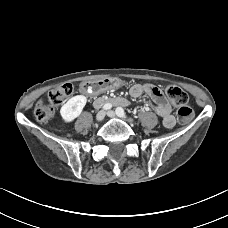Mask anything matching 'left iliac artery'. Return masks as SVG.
<instances>
[{
    "label": "left iliac artery",
    "instance_id": "1",
    "mask_svg": "<svg viewBox=\"0 0 228 228\" xmlns=\"http://www.w3.org/2000/svg\"><path fill=\"white\" fill-rule=\"evenodd\" d=\"M116 114H117V116H119L121 118L127 117L125 111L121 107L116 108ZM129 120L132 121L133 119L130 118Z\"/></svg>",
    "mask_w": 228,
    "mask_h": 228
}]
</instances>
